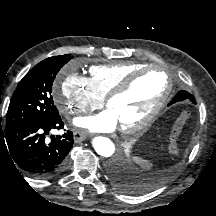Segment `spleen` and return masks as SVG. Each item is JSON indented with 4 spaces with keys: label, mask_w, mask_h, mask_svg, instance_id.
I'll return each instance as SVG.
<instances>
[{
    "label": "spleen",
    "mask_w": 216,
    "mask_h": 216,
    "mask_svg": "<svg viewBox=\"0 0 216 216\" xmlns=\"http://www.w3.org/2000/svg\"><path fill=\"white\" fill-rule=\"evenodd\" d=\"M133 159H134V161H135L137 164H139L143 169H150V168L152 167V164H151L149 161L145 160V159H142V158H140V157H134Z\"/></svg>",
    "instance_id": "1"
}]
</instances>
